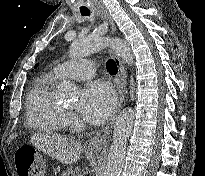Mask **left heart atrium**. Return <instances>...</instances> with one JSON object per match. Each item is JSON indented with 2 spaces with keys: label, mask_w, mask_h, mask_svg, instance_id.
<instances>
[{
  "label": "left heart atrium",
  "mask_w": 205,
  "mask_h": 176,
  "mask_svg": "<svg viewBox=\"0 0 205 176\" xmlns=\"http://www.w3.org/2000/svg\"><path fill=\"white\" fill-rule=\"evenodd\" d=\"M115 103V92L108 83L92 81L81 90L78 110L85 119L99 124L109 118Z\"/></svg>",
  "instance_id": "obj_1"
}]
</instances>
